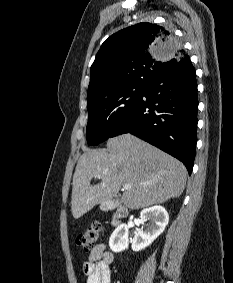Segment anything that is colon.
Instances as JSON below:
<instances>
[{
    "instance_id": "obj_1",
    "label": "colon",
    "mask_w": 233,
    "mask_h": 283,
    "mask_svg": "<svg viewBox=\"0 0 233 283\" xmlns=\"http://www.w3.org/2000/svg\"><path fill=\"white\" fill-rule=\"evenodd\" d=\"M100 232L101 225L97 222H94L87 226L86 229L78 235L76 243L83 249L90 250L98 241Z\"/></svg>"
}]
</instances>
